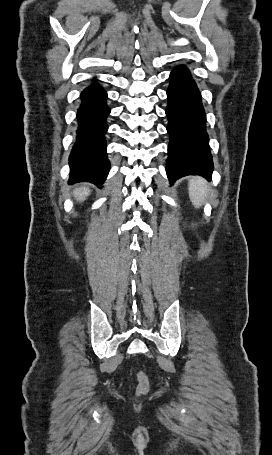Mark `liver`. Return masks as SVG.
Instances as JSON below:
<instances>
[{
    "label": "liver",
    "instance_id": "obj_1",
    "mask_svg": "<svg viewBox=\"0 0 272 455\" xmlns=\"http://www.w3.org/2000/svg\"><path fill=\"white\" fill-rule=\"evenodd\" d=\"M89 193H90V190L88 187H80L74 191V197L78 201H84L85 198L89 195Z\"/></svg>",
    "mask_w": 272,
    "mask_h": 455
}]
</instances>
